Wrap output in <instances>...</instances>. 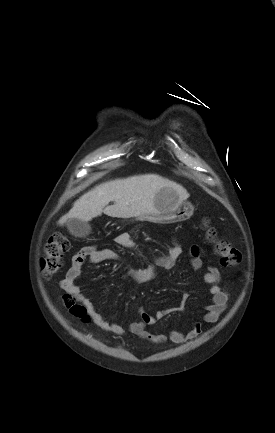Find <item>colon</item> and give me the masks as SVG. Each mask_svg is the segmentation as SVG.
I'll return each mask as SVG.
<instances>
[{"instance_id":"1","label":"colon","mask_w":275,"mask_h":433,"mask_svg":"<svg viewBox=\"0 0 275 433\" xmlns=\"http://www.w3.org/2000/svg\"><path fill=\"white\" fill-rule=\"evenodd\" d=\"M207 239L214 245L216 255L224 266H235L241 261V253L229 243L217 236L216 230L209 225L208 220L203 222ZM69 249V240L62 231L54 232L45 245V256L42 259V271L46 275L57 273L63 264V257ZM64 306L78 319L86 321V310L78 304L69 293L62 297Z\"/></svg>"}]
</instances>
